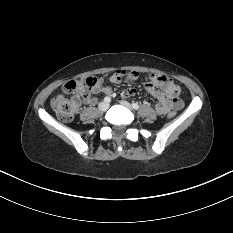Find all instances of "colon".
Here are the masks:
<instances>
[{
    "mask_svg": "<svg viewBox=\"0 0 233 233\" xmlns=\"http://www.w3.org/2000/svg\"><path fill=\"white\" fill-rule=\"evenodd\" d=\"M117 73L122 78L133 81L139 78V74L137 72L118 71ZM152 77L153 75L148 76V79ZM97 82V78L90 76L78 81L71 80L65 83L63 87L64 91L66 93L73 94V96L58 94L52 99L51 106L58 118L64 122L71 121L80 109L81 97L92 92L96 87ZM175 115V112L169 113L170 118L175 117Z\"/></svg>",
    "mask_w": 233,
    "mask_h": 233,
    "instance_id": "1",
    "label": "colon"
}]
</instances>
